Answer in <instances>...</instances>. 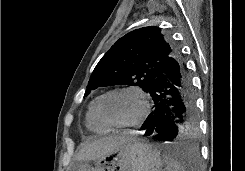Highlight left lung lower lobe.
I'll use <instances>...</instances> for the list:
<instances>
[{"label": "left lung lower lobe", "instance_id": "0a47b994", "mask_svg": "<svg viewBox=\"0 0 245 171\" xmlns=\"http://www.w3.org/2000/svg\"><path fill=\"white\" fill-rule=\"evenodd\" d=\"M148 93L154 102L153 111L141 126L144 136L157 135L161 141H177L189 133L196 122L195 94L191 75L178 50L164 63L161 74ZM182 167H195V149L179 152Z\"/></svg>", "mask_w": 245, "mask_h": 171}]
</instances>
